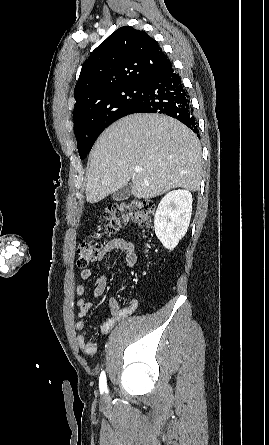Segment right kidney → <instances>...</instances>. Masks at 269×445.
Listing matches in <instances>:
<instances>
[{"label": "right kidney", "instance_id": "1", "mask_svg": "<svg viewBox=\"0 0 269 445\" xmlns=\"http://www.w3.org/2000/svg\"><path fill=\"white\" fill-rule=\"evenodd\" d=\"M192 214V194L173 190L160 201L154 219L157 238L167 249H173L187 232Z\"/></svg>", "mask_w": 269, "mask_h": 445}]
</instances>
